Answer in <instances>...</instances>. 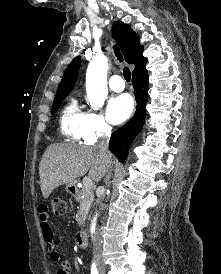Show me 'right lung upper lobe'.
Returning <instances> with one entry per match:
<instances>
[{
  "label": "right lung upper lobe",
  "mask_w": 221,
  "mask_h": 274,
  "mask_svg": "<svg viewBox=\"0 0 221 274\" xmlns=\"http://www.w3.org/2000/svg\"><path fill=\"white\" fill-rule=\"evenodd\" d=\"M112 35L120 45L126 61L134 64L132 76L146 70L147 59L142 55L143 46L139 42V36L129 27V25L116 21L113 24ZM80 68V57H76L66 69L56 96L68 94L77 79L78 69ZM55 96V97H56Z\"/></svg>",
  "instance_id": "right-lung-upper-lobe-1"
}]
</instances>
